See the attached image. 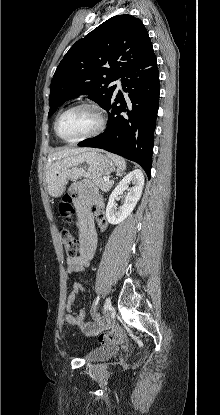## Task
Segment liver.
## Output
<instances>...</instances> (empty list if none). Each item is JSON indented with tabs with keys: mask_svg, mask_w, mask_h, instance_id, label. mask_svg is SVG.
Returning a JSON list of instances; mask_svg holds the SVG:
<instances>
[{
	"mask_svg": "<svg viewBox=\"0 0 220 415\" xmlns=\"http://www.w3.org/2000/svg\"><path fill=\"white\" fill-rule=\"evenodd\" d=\"M86 150L87 149H85V148L63 149V150L57 151L53 154H50L48 156L47 167H49L51 165L52 161L55 160V159L60 160L62 158L68 157V156L79 154V153L84 152Z\"/></svg>",
	"mask_w": 220,
	"mask_h": 415,
	"instance_id": "6515ba94",
	"label": "liver"
}]
</instances>
